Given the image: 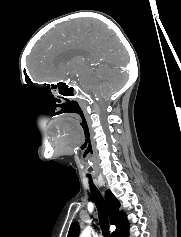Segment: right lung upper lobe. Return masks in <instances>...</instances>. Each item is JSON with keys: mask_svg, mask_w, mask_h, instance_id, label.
<instances>
[{"mask_svg": "<svg viewBox=\"0 0 181 237\" xmlns=\"http://www.w3.org/2000/svg\"><path fill=\"white\" fill-rule=\"evenodd\" d=\"M105 200L110 223L116 226L115 231L112 233L113 237H127L129 223L127 221L126 214L123 211H119V201L110 190L106 191ZM79 231L80 228L78 223H72L68 232V237H78Z\"/></svg>", "mask_w": 181, "mask_h": 237, "instance_id": "cb5924a9", "label": "right lung upper lobe"}]
</instances>
